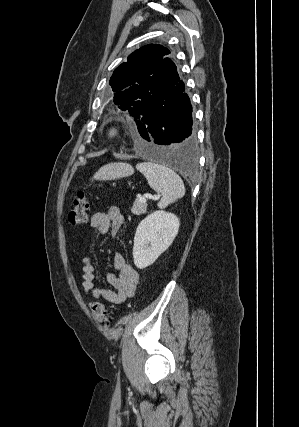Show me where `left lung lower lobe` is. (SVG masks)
I'll use <instances>...</instances> for the list:
<instances>
[{"instance_id": "1", "label": "left lung lower lobe", "mask_w": 299, "mask_h": 427, "mask_svg": "<svg viewBox=\"0 0 299 427\" xmlns=\"http://www.w3.org/2000/svg\"><path fill=\"white\" fill-rule=\"evenodd\" d=\"M136 121L141 137V152L153 160L191 171L196 153V136L192 124V106L183 81L163 97L140 111Z\"/></svg>"}]
</instances>
